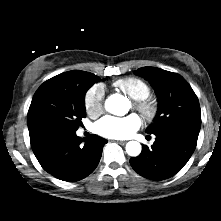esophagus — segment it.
Segmentation results:
<instances>
[{"mask_svg":"<svg viewBox=\"0 0 221 221\" xmlns=\"http://www.w3.org/2000/svg\"><path fill=\"white\" fill-rule=\"evenodd\" d=\"M118 143L124 145L126 143V141H118Z\"/></svg>","mask_w":221,"mask_h":221,"instance_id":"esophagus-1","label":"esophagus"}]
</instances>
